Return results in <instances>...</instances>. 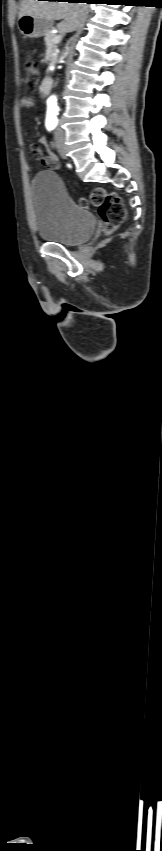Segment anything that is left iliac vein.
Masks as SVG:
<instances>
[{
	"label": "left iliac vein",
	"mask_w": 162,
	"mask_h": 851,
	"mask_svg": "<svg viewBox=\"0 0 162 851\" xmlns=\"http://www.w3.org/2000/svg\"><path fill=\"white\" fill-rule=\"evenodd\" d=\"M57 148H58V152H59L60 156L63 159H66L67 155H66V150H65L64 146L61 143H58Z\"/></svg>",
	"instance_id": "4c4485c4"
}]
</instances>
